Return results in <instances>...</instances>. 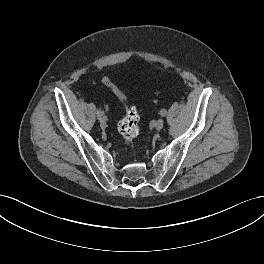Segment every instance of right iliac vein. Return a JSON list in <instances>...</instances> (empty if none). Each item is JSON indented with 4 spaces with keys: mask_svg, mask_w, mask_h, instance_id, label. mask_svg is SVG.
<instances>
[{
    "mask_svg": "<svg viewBox=\"0 0 264 264\" xmlns=\"http://www.w3.org/2000/svg\"><path fill=\"white\" fill-rule=\"evenodd\" d=\"M99 120H100V126L102 128H105L106 127V118L104 116H102Z\"/></svg>",
    "mask_w": 264,
    "mask_h": 264,
    "instance_id": "63e3f726",
    "label": "right iliac vein"
}]
</instances>
